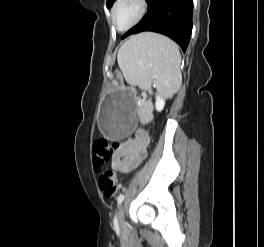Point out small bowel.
Here are the masks:
<instances>
[{
  "mask_svg": "<svg viewBox=\"0 0 264 247\" xmlns=\"http://www.w3.org/2000/svg\"><path fill=\"white\" fill-rule=\"evenodd\" d=\"M141 117L143 120L148 121L151 115L148 111H143ZM149 144L150 138L146 132H136L133 138L124 141L113 154V168L121 173H129L136 169L145 159Z\"/></svg>",
  "mask_w": 264,
  "mask_h": 247,
  "instance_id": "small-bowel-1",
  "label": "small bowel"
}]
</instances>
